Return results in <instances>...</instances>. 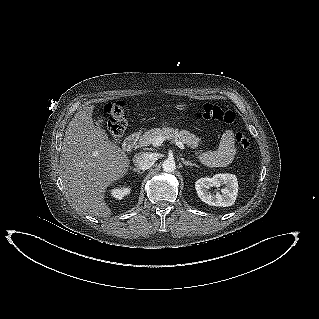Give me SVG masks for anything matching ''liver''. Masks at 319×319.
<instances>
[{
    "label": "liver",
    "mask_w": 319,
    "mask_h": 319,
    "mask_svg": "<svg viewBox=\"0 0 319 319\" xmlns=\"http://www.w3.org/2000/svg\"><path fill=\"white\" fill-rule=\"evenodd\" d=\"M94 105L78 111L69 122L61 148L60 165L64 188L79 212L108 217L106 189L129 168L128 156L94 125Z\"/></svg>",
    "instance_id": "obj_1"
}]
</instances>
